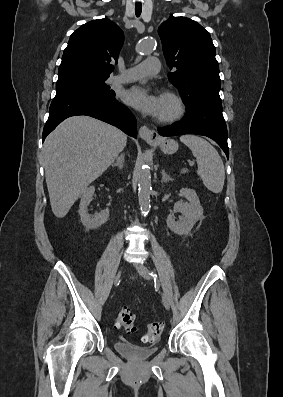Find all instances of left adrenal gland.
I'll return each mask as SVG.
<instances>
[{
    "label": "left adrenal gland",
    "instance_id": "left-adrenal-gland-1",
    "mask_svg": "<svg viewBox=\"0 0 283 397\" xmlns=\"http://www.w3.org/2000/svg\"><path fill=\"white\" fill-rule=\"evenodd\" d=\"M169 181H172V178H170V176L165 172V170H162V179L161 182L162 183H167Z\"/></svg>",
    "mask_w": 283,
    "mask_h": 397
}]
</instances>
